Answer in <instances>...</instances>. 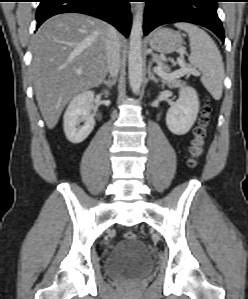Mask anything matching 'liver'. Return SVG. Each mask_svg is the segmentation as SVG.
Segmentation results:
<instances>
[{"label":"liver","instance_id":"1","mask_svg":"<svg viewBox=\"0 0 248 299\" xmlns=\"http://www.w3.org/2000/svg\"><path fill=\"white\" fill-rule=\"evenodd\" d=\"M107 23L78 13L51 17L35 34L31 50L36 100L49 129L78 93L98 86L107 71ZM119 43L123 37L117 32Z\"/></svg>","mask_w":248,"mask_h":299}]
</instances>
